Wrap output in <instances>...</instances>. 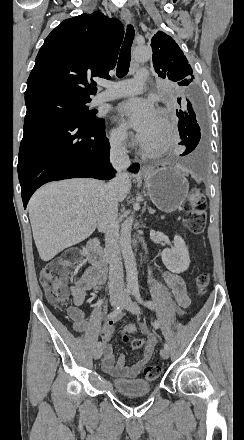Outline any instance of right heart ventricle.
I'll return each instance as SVG.
<instances>
[{
	"instance_id": "obj_1",
	"label": "right heart ventricle",
	"mask_w": 244,
	"mask_h": 440,
	"mask_svg": "<svg viewBox=\"0 0 244 440\" xmlns=\"http://www.w3.org/2000/svg\"><path fill=\"white\" fill-rule=\"evenodd\" d=\"M151 129V128H150ZM150 129L146 132V134H149L150 133Z\"/></svg>"
}]
</instances>
